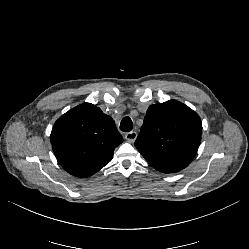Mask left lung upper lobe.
<instances>
[{"label": "left lung upper lobe", "instance_id": "obj_1", "mask_svg": "<svg viewBox=\"0 0 249 249\" xmlns=\"http://www.w3.org/2000/svg\"><path fill=\"white\" fill-rule=\"evenodd\" d=\"M201 133L199 115L185 104L169 100L148 108L135 146L156 170L177 172L193 160Z\"/></svg>", "mask_w": 249, "mask_h": 249}]
</instances>
